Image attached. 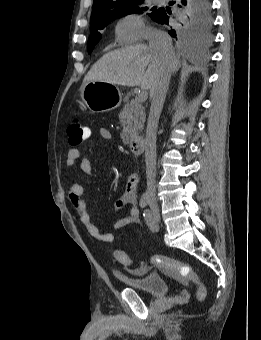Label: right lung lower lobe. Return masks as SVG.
<instances>
[{
    "label": "right lung lower lobe",
    "instance_id": "1",
    "mask_svg": "<svg viewBox=\"0 0 261 340\" xmlns=\"http://www.w3.org/2000/svg\"><path fill=\"white\" fill-rule=\"evenodd\" d=\"M190 3H192V7L200 6L206 11H211L210 0H177L174 2V4H176V11H173L172 13L170 9L159 8V13L153 20L159 24L168 25L169 20H171L172 18H176L179 11L187 8ZM172 30L173 29L169 31V34L175 38V34L172 33Z\"/></svg>",
    "mask_w": 261,
    "mask_h": 340
}]
</instances>
